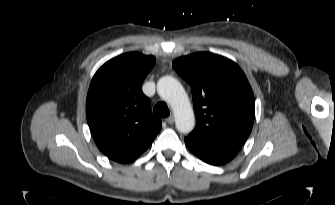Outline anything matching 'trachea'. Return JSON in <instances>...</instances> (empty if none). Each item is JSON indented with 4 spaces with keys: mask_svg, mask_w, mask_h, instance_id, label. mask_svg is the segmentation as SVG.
Segmentation results:
<instances>
[{
    "mask_svg": "<svg viewBox=\"0 0 335 205\" xmlns=\"http://www.w3.org/2000/svg\"><path fill=\"white\" fill-rule=\"evenodd\" d=\"M153 112L160 117H168L170 114L168 106L165 102H158L155 105Z\"/></svg>",
    "mask_w": 335,
    "mask_h": 205,
    "instance_id": "1",
    "label": "trachea"
}]
</instances>
